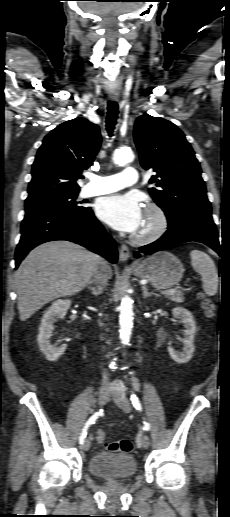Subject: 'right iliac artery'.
I'll use <instances>...</instances> for the list:
<instances>
[{
  "mask_svg": "<svg viewBox=\"0 0 230 517\" xmlns=\"http://www.w3.org/2000/svg\"><path fill=\"white\" fill-rule=\"evenodd\" d=\"M103 410L101 409L100 411L96 412L94 415H92L88 421L85 423V426L82 430V433L80 435V438H79V442L80 444H83L84 443V440H85V437H86V434H87V429L88 427L91 425V424H94L95 421L98 419V417L102 414Z\"/></svg>",
  "mask_w": 230,
  "mask_h": 517,
  "instance_id": "obj_1",
  "label": "right iliac artery"
}]
</instances>
